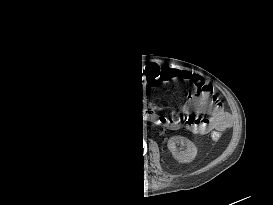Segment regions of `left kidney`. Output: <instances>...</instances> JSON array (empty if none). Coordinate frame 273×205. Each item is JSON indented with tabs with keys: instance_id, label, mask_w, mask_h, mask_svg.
Segmentation results:
<instances>
[{
	"instance_id": "5707ae66",
	"label": "left kidney",
	"mask_w": 273,
	"mask_h": 205,
	"mask_svg": "<svg viewBox=\"0 0 273 205\" xmlns=\"http://www.w3.org/2000/svg\"><path fill=\"white\" fill-rule=\"evenodd\" d=\"M177 145L185 146L186 149L177 147ZM167 147L172 153L175 160L179 163H190L197 155V147L195 144L183 136H173L168 140Z\"/></svg>"
}]
</instances>
